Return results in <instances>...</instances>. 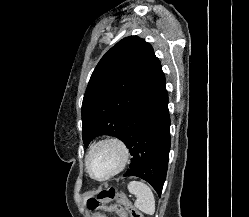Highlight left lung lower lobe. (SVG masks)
Returning <instances> with one entry per match:
<instances>
[{
    "label": "left lung lower lobe",
    "mask_w": 249,
    "mask_h": 217,
    "mask_svg": "<svg viewBox=\"0 0 249 217\" xmlns=\"http://www.w3.org/2000/svg\"><path fill=\"white\" fill-rule=\"evenodd\" d=\"M121 140L132 155L124 176H137L161 195L170 151V117L164 73L130 110Z\"/></svg>",
    "instance_id": "0a47b994"
}]
</instances>
